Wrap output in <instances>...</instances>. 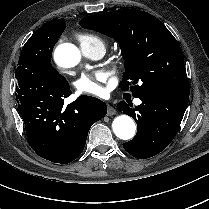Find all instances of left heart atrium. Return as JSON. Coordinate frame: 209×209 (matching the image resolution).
Returning a JSON list of instances; mask_svg holds the SVG:
<instances>
[{
	"instance_id": "obj_1",
	"label": "left heart atrium",
	"mask_w": 209,
	"mask_h": 209,
	"mask_svg": "<svg viewBox=\"0 0 209 209\" xmlns=\"http://www.w3.org/2000/svg\"><path fill=\"white\" fill-rule=\"evenodd\" d=\"M101 82L102 79L99 76L84 74L76 81L75 86L80 94L102 97L104 88Z\"/></svg>"
}]
</instances>
